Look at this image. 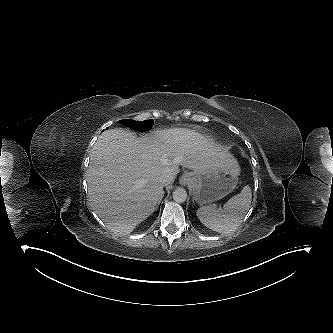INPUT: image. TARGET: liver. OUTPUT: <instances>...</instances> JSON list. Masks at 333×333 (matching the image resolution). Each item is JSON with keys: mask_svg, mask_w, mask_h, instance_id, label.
Masks as SVG:
<instances>
[{"mask_svg": "<svg viewBox=\"0 0 333 333\" xmlns=\"http://www.w3.org/2000/svg\"><path fill=\"white\" fill-rule=\"evenodd\" d=\"M235 164L227 151L190 129L158 130L141 138L109 129L98 137L90 155V205L111 231L129 234L163 198L158 181L163 170H170L174 179L179 165L202 172Z\"/></svg>", "mask_w": 333, "mask_h": 333, "instance_id": "obj_1", "label": "liver"}]
</instances>
